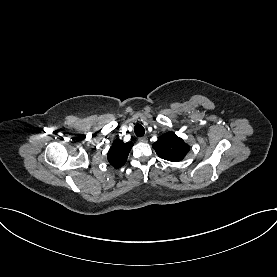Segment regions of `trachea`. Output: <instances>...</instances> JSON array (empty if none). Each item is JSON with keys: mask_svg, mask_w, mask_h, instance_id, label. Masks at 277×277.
<instances>
[{"mask_svg": "<svg viewBox=\"0 0 277 277\" xmlns=\"http://www.w3.org/2000/svg\"><path fill=\"white\" fill-rule=\"evenodd\" d=\"M134 132L136 136L142 137L145 134V129L141 124H136L134 127Z\"/></svg>", "mask_w": 277, "mask_h": 277, "instance_id": "trachea-1", "label": "trachea"}]
</instances>
